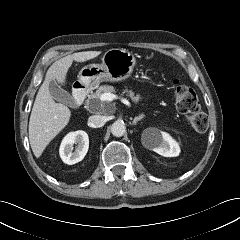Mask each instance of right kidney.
I'll return each instance as SVG.
<instances>
[{"label": "right kidney", "instance_id": "1", "mask_svg": "<svg viewBox=\"0 0 240 240\" xmlns=\"http://www.w3.org/2000/svg\"><path fill=\"white\" fill-rule=\"evenodd\" d=\"M77 144L73 152V145ZM89 148V137L85 131L70 132L62 140L60 157L64 163L72 165L80 162L85 157Z\"/></svg>", "mask_w": 240, "mask_h": 240}]
</instances>
